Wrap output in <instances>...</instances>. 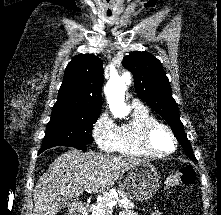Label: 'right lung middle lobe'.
Segmentation results:
<instances>
[{
	"mask_svg": "<svg viewBox=\"0 0 221 215\" xmlns=\"http://www.w3.org/2000/svg\"><path fill=\"white\" fill-rule=\"evenodd\" d=\"M100 112L61 111L52 113L44 137V148L92 143L93 124Z\"/></svg>",
	"mask_w": 221,
	"mask_h": 215,
	"instance_id": "right-lung-middle-lobe-1",
	"label": "right lung middle lobe"
}]
</instances>
